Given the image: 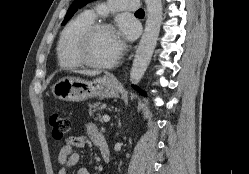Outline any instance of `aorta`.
Here are the masks:
<instances>
[{"instance_id":"1","label":"aorta","mask_w":249,"mask_h":174,"mask_svg":"<svg viewBox=\"0 0 249 174\" xmlns=\"http://www.w3.org/2000/svg\"><path fill=\"white\" fill-rule=\"evenodd\" d=\"M145 3L146 24L130 71V80L133 84L140 82L149 66L162 23V0H145Z\"/></svg>"}]
</instances>
